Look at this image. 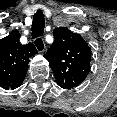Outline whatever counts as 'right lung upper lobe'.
<instances>
[{
  "label": "right lung upper lobe",
  "mask_w": 117,
  "mask_h": 117,
  "mask_svg": "<svg viewBox=\"0 0 117 117\" xmlns=\"http://www.w3.org/2000/svg\"><path fill=\"white\" fill-rule=\"evenodd\" d=\"M20 33L13 30L0 40V85L3 88L19 86L27 73L29 57L37 51L32 43L21 45Z\"/></svg>",
  "instance_id": "obj_1"
}]
</instances>
